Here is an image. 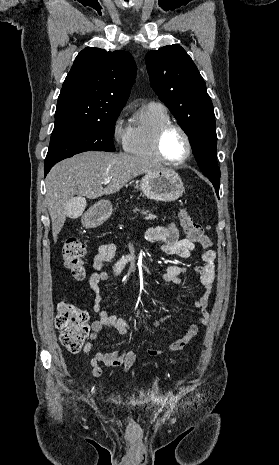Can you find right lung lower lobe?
I'll return each mask as SVG.
<instances>
[{"mask_svg": "<svg viewBox=\"0 0 279 465\" xmlns=\"http://www.w3.org/2000/svg\"><path fill=\"white\" fill-rule=\"evenodd\" d=\"M54 166V165H50L48 167H45L44 169V173H45V176L47 175V173L50 171L51 167Z\"/></svg>", "mask_w": 279, "mask_h": 465, "instance_id": "1", "label": "right lung lower lobe"}]
</instances>
